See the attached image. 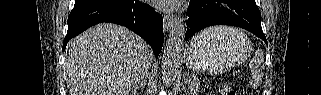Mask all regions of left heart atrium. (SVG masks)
<instances>
[{"label":"left heart atrium","instance_id":"obj_1","mask_svg":"<svg viewBox=\"0 0 321 95\" xmlns=\"http://www.w3.org/2000/svg\"><path fill=\"white\" fill-rule=\"evenodd\" d=\"M180 1L178 0H157L156 4L159 8L164 10L174 9L178 6Z\"/></svg>","mask_w":321,"mask_h":95}]
</instances>
